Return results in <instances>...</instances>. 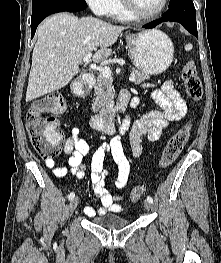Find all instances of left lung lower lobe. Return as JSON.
Listing matches in <instances>:
<instances>
[{
    "mask_svg": "<svg viewBox=\"0 0 221 263\" xmlns=\"http://www.w3.org/2000/svg\"><path fill=\"white\" fill-rule=\"evenodd\" d=\"M165 21L179 22L191 34L198 38L195 7L192 0H183L174 4H169V9L162 18L144 25V28H153Z\"/></svg>",
    "mask_w": 221,
    "mask_h": 263,
    "instance_id": "0a47b994",
    "label": "left lung lower lobe"
}]
</instances>
